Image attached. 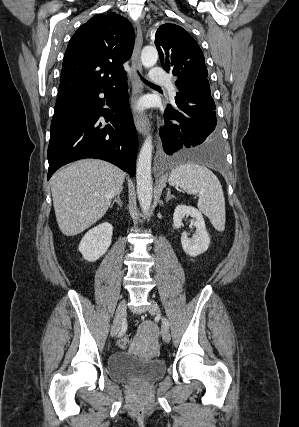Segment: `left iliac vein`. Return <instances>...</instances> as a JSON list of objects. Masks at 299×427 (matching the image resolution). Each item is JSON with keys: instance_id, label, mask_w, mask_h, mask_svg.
Masks as SVG:
<instances>
[{"instance_id": "left-iliac-vein-1", "label": "left iliac vein", "mask_w": 299, "mask_h": 427, "mask_svg": "<svg viewBox=\"0 0 299 427\" xmlns=\"http://www.w3.org/2000/svg\"><path fill=\"white\" fill-rule=\"evenodd\" d=\"M148 310H149L150 314H152V315H154L157 318L162 320L161 310L155 301H153V300L150 301V305H149ZM161 335H162L163 340L166 343L170 342V340H171L170 332H169L167 326L163 322H162V328H161Z\"/></svg>"}]
</instances>
